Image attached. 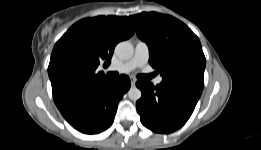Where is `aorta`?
I'll return each mask as SVG.
<instances>
[{
    "label": "aorta",
    "instance_id": "762f6f07",
    "mask_svg": "<svg viewBox=\"0 0 261 150\" xmlns=\"http://www.w3.org/2000/svg\"><path fill=\"white\" fill-rule=\"evenodd\" d=\"M115 53L119 58L127 60L133 56L134 47L130 42L123 41L116 45ZM141 95V91L137 87H131L128 91V97L133 101L139 100L141 98Z\"/></svg>",
    "mask_w": 261,
    "mask_h": 150
}]
</instances>
